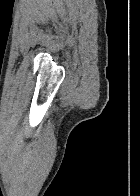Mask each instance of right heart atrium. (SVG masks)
Here are the masks:
<instances>
[{
    "label": "right heart atrium",
    "instance_id": "1",
    "mask_svg": "<svg viewBox=\"0 0 140 196\" xmlns=\"http://www.w3.org/2000/svg\"><path fill=\"white\" fill-rule=\"evenodd\" d=\"M7 192H11V191H7ZM28 192H38V191H28Z\"/></svg>",
    "mask_w": 140,
    "mask_h": 196
}]
</instances>
